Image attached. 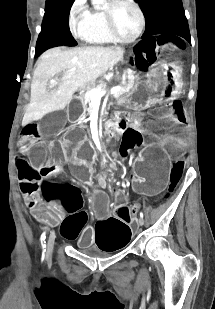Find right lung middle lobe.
Here are the masks:
<instances>
[{
	"mask_svg": "<svg viewBox=\"0 0 215 309\" xmlns=\"http://www.w3.org/2000/svg\"><path fill=\"white\" fill-rule=\"evenodd\" d=\"M74 0H46L42 30L36 43L35 56L55 46H75L69 30V12Z\"/></svg>",
	"mask_w": 215,
	"mask_h": 309,
	"instance_id": "obj_1",
	"label": "right lung middle lobe"
}]
</instances>
